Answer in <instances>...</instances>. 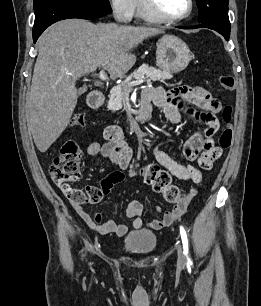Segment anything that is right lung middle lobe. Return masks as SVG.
<instances>
[{
	"label": "right lung middle lobe",
	"mask_w": 261,
	"mask_h": 306,
	"mask_svg": "<svg viewBox=\"0 0 261 306\" xmlns=\"http://www.w3.org/2000/svg\"><path fill=\"white\" fill-rule=\"evenodd\" d=\"M48 1L72 3V4L90 6V7L98 8V9L105 10L108 12L112 11L110 4H109V0H48Z\"/></svg>",
	"instance_id": "right-lung-middle-lobe-1"
}]
</instances>
